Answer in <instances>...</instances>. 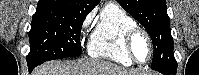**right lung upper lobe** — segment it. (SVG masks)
<instances>
[{"instance_id":"cb5924a9","label":"right lung upper lobe","mask_w":199,"mask_h":75,"mask_svg":"<svg viewBox=\"0 0 199 75\" xmlns=\"http://www.w3.org/2000/svg\"><path fill=\"white\" fill-rule=\"evenodd\" d=\"M100 0H39L37 9L56 8L88 14Z\"/></svg>"}]
</instances>
